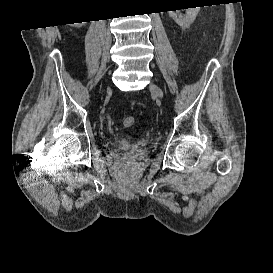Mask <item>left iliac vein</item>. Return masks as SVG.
<instances>
[{
	"label": "left iliac vein",
	"mask_w": 273,
	"mask_h": 273,
	"mask_svg": "<svg viewBox=\"0 0 273 273\" xmlns=\"http://www.w3.org/2000/svg\"><path fill=\"white\" fill-rule=\"evenodd\" d=\"M150 90L159 98L163 97V92L159 86L154 83L150 84Z\"/></svg>",
	"instance_id": "4c4485c4"
}]
</instances>
